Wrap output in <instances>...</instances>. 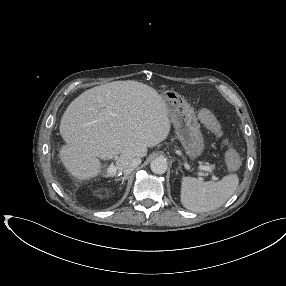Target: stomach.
Listing matches in <instances>:
<instances>
[{
	"label": "stomach",
	"instance_id": "1",
	"mask_svg": "<svg viewBox=\"0 0 286 286\" xmlns=\"http://www.w3.org/2000/svg\"><path fill=\"white\" fill-rule=\"evenodd\" d=\"M162 96L166 102L168 116L186 154L192 160L198 158L203 153L205 146L193 108L176 91H165Z\"/></svg>",
	"mask_w": 286,
	"mask_h": 286
}]
</instances>
